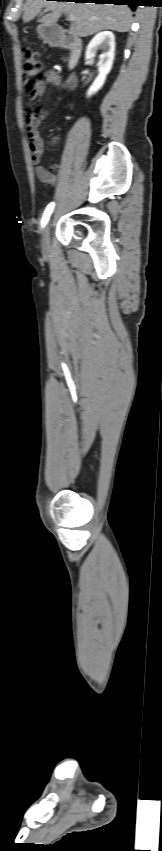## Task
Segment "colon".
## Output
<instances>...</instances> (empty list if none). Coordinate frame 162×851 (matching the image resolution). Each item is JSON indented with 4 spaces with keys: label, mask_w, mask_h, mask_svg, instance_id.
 Returning <instances> with one entry per match:
<instances>
[{
    "label": "colon",
    "mask_w": 162,
    "mask_h": 851,
    "mask_svg": "<svg viewBox=\"0 0 162 851\" xmlns=\"http://www.w3.org/2000/svg\"><path fill=\"white\" fill-rule=\"evenodd\" d=\"M24 64L23 78L25 89L33 93L36 86L42 80V69L39 62V54L30 47L23 49Z\"/></svg>",
    "instance_id": "colon-1"
}]
</instances>
